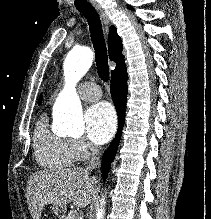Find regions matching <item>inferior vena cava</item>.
Here are the masks:
<instances>
[{
	"label": "inferior vena cava",
	"instance_id": "inferior-vena-cava-1",
	"mask_svg": "<svg viewBox=\"0 0 211 219\" xmlns=\"http://www.w3.org/2000/svg\"><path fill=\"white\" fill-rule=\"evenodd\" d=\"M90 150L92 152V159H91L90 165L87 167V169L88 170H93V169L100 166L99 149L92 145L90 147Z\"/></svg>",
	"mask_w": 211,
	"mask_h": 219
}]
</instances>
